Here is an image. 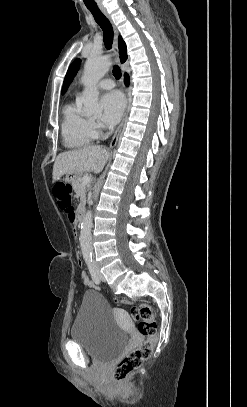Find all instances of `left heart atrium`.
<instances>
[{"label": "left heart atrium", "instance_id": "left-heart-atrium-1", "mask_svg": "<svg viewBox=\"0 0 247 407\" xmlns=\"http://www.w3.org/2000/svg\"><path fill=\"white\" fill-rule=\"evenodd\" d=\"M102 120L107 124L119 121L125 107V99L119 91L106 93L101 99Z\"/></svg>", "mask_w": 247, "mask_h": 407}]
</instances>
